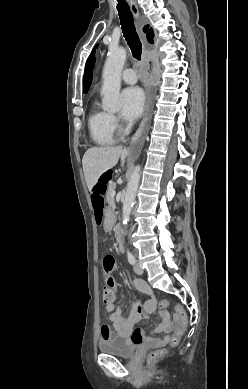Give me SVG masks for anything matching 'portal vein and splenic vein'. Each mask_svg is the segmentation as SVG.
Returning <instances> with one entry per match:
<instances>
[{
	"label": "portal vein and splenic vein",
	"instance_id": "portal-vein-and-splenic-vein-1",
	"mask_svg": "<svg viewBox=\"0 0 248 389\" xmlns=\"http://www.w3.org/2000/svg\"><path fill=\"white\" fill-rule=\"evenodd\" d=\"M112 196H113V197L115 196V192L112 193Z\"/></svg>",
	"mask_w": 248,
	"mask_h": 389
}]
</instances>
